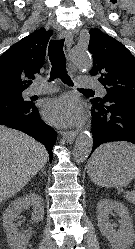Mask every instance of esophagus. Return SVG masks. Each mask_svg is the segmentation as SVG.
<instances>
[{"label":"esophagus","mask_w":135,"mask_h":249,"mask_svg":"<svg viewBox=\"0 0 135 249\" xmlns=\"http://www.w3.org/2000/svg\"><path fill=\"white\" fill-rule=\"evenodd\" d=\"M59 37L61 39H65V43H66V47L67 49L69 50L73 44V36L64 31V30H61L59 32ZM69 66L72 68V64L69 62ZM78 134V131H64V132H61V135L63 137V139L67 142V143H72L74 141V139L76 138Z\"/></svg>","instance_id":"obj_1"}]
</instances>
